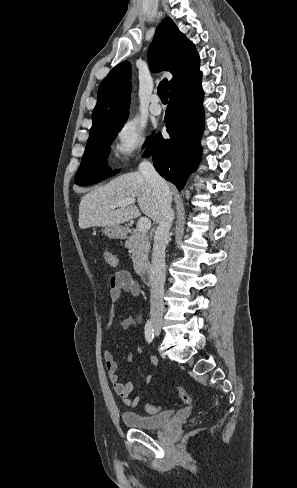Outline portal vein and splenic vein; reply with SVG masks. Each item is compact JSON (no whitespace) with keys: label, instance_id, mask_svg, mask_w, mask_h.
<instances>
[{"label":"portal vein and splenic vein","instance_id":"1","mask_svg":"<svg viewBox=\"0 0 297 488\" xmlns=\"http://www.w3.org/2000/svg\"><path fill=\"white\" fill-rule=\"evenodd\" d=\"M134 203H135L134 198H126V199H123L122 201L118 202L117 204L111 205L110 208L115 209L118 207H125L128 205L134 204ZM150 227H151V221L149 218L142 217L138 220L137 229L139 231L147 232L150 229Z\"/></svg>","mask_w":297,"mask_h":488}]
</instances>
